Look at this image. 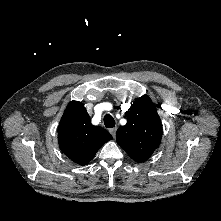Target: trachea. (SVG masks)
<instances>
[{
    "mask_svg": "<svg viewBox=\"0 0 221 221\" xmlns=\"http://www.w3.org/2000/svg\"><path fill=\"white\" fill-rule=\"evenodd\" d=\"M104 124L107 128L115 127V120L110 114L104 116Z\"/></svg>",
    "mask_w": 221,
    "mask_h": 221,
    "instance_id": "3493384b",
    "label": "trachea"
}]
</instances>
